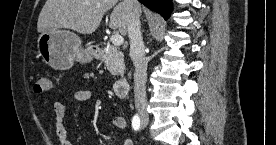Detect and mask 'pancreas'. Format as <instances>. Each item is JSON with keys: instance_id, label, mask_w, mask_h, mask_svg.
Instances as JSON below:
<instances>
[{"instance_id": "cf45deb5", "label": "pancreas", "mask_w": 276, "mask_h": 145, "mask_svg": "<svg viewBox=\"0 0 276 145\" xmlns=\"http://www.w3.org/2000/svg\"><path fill=\"white\" fill-rule=\"evenodd\" d=\"M100 59L104 62L108 71L113 76L119 75L125 68L124 55L115 46H109L102 49L100 52Z\"/></svg>"}]
</instances>
